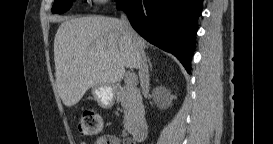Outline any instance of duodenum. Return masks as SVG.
Listing matches in <instances>:
<instances>
[{
	"mask_svg": "<svg viewBox=\"0 0 273 144\" xmlns=\"http://www.w3.org/2000/svg\"><path fill=\"white\" fill-rule=\"evenodd\" d=\"M130 132L133 136V139L136 142H142L146 139L148 135V125L145 119H141L137 123H135L130 128Z\"/></svg>",
	"mask_w": 273,
	"mask_h": 144,
	"instance_id": "obj_1",
	"label": "duodenum"
}]
</instances>
